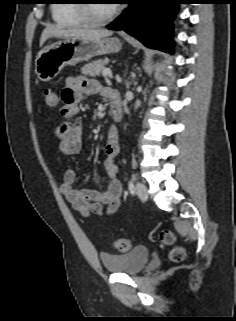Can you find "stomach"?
Instances as JSON below:
<instances>
[{"mask_svg":"<svg viewBox=\"0 0 236 321\" xmlns=\"http://www.w3.org/2000/svg\"><path fill=\"white\" fill-rule=\"evenodd\" d=\"M122 47L117 38L84 39L68 37L44 47L35 60L37 77L47 82L54 79L67 65L88 61L99 55L116 53Z\"/></svg>","mask_w":236,"mask_h":321,"instance_id":"0dacf381","label":"stomach"}]
</instances>
